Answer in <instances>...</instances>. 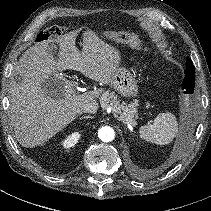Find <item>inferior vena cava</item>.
Instances as JSON below:
<instances>
[{
    "label": "inferior vena cava",
    "instance_id": "inferior-vena-cava-1",
    "mask_svg": "<svg viewBox=\"0 0 211 211\" xmlns=\"http://www.w3.org/2000/svg\"><path fill=\"white\" fill-rule=\"evenodd\" d=\"M97 109H98V104L97 103H86L83 108H82V111L83 112H86V113H96L97 112Z\"/></svg>",
    "mask_w": 211,
    "mask_h": 211
}]
</instances>
